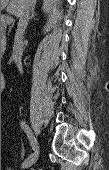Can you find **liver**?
<instances>
[{
  "label": "liver",
  "mask_w": 109,
  "mask_h": 170,
  "mask_svg": "<svg viewBox=\"0 0 109 170\" xmlns=\"http://www.w3.org/2000/svg\"><path fill=\"white\" fill-rule=\"evenodd\" d=\"M22 0H1V7L7 6V11L16 17H19Z\"/></svg>",
  "instance_id": "liver-1"
}]
</instances>
